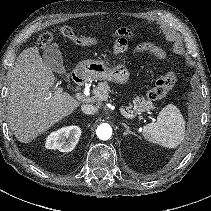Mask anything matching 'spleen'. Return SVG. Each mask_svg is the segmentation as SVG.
Here are the masks:
<instances>
[{"instance_id":"obj_1","label":"spleen","mask_w":211,"mask_h":211,"mask_svg":"<svg viewBox=\"0 0 211 211\" xmlns=\"http://www.w3.org/2000/svg\"><path fill=\"white\" fill-rule=\"evenodd\" d=\"M143 136L149 142L166 148L177 147L185 136V121L180 110L173 104L165 106L155 123L143 127Z\"/></svg>"}]
</instances>
